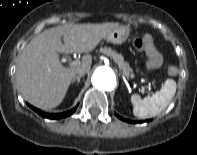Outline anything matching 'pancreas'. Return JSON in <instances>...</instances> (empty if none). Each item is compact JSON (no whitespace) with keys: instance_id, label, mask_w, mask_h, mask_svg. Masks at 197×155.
I'll use <instances>...</instances> for the list:
<instances>
[{"instance_id":"cf45deb5","label":"pancreas","mask_w":197,"mask_h":155,"mask_svg":"<svg viewBox=\"0 0 197 155\" xmlns=\"http://www.w3.org/2000/svg\"><path fill=\"white\" fill-rule=\"evenodd\" d=\"M101 53L106 54L107 56H110L122 69L124 75L127 78H134L133 70L129 66L127 62L124 61V57L121 54H118L116 51L112 50L111 48H100L99 50Z\"/></svg>"}]
</instances>
